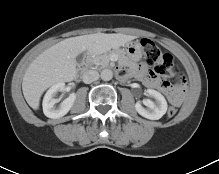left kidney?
<instances>
[{
  "instance_id": "left-kidney-1",
  "label": "left kidney",
  "mask_w": 219,
  "mask_h": 174,
  "mask_svg": "<svg viewBox=\"0 0 219 174\" xmlns=\"http://www.w3.org/2000/svg\"><path fill=\"white\" fill-rule=\"evenodd\" d=\"M147 95L153 97L155 102L150 99L143 100V104L147 106V109L144 108L140 102L135 104L136 111L143 117L150 120L160 119L167 111V102L164 96L156 90L148 89Z\"/></svg>"
}]
</instances>
